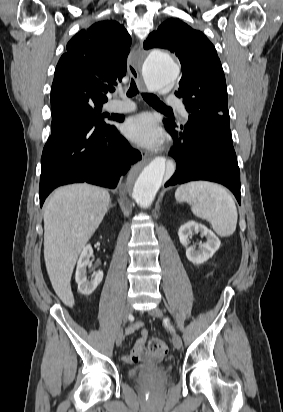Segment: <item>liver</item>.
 <instances>
[{"mask_svg":"<svg viewBox=\"0 0 283 412\" xmlns=\"http://www.w3.org/2000/svg\"><path fill=\"white\" fill-rule=\"evenodd\" d=\"M110 201L107 190L83 183L60 187L45 203V265L54 291L69 307L74 304L70 281L77 258Z\"/></svg>","mask_w":283,"mask_h":412,"instance_id":"1","label":"liver"}]
</instances>
